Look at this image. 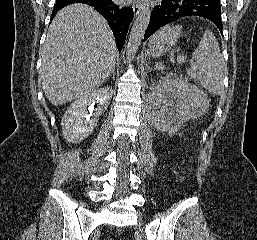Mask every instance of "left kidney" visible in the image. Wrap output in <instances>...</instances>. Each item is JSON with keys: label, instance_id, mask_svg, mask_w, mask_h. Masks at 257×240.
Returning a JSON list of instances; mask_svg holds the SVG:
<instances>
[{"label": "left kidney", "instance_id": "1", "mask_svg": "<svg viewBox=\"0 0 257 240\" xmlns=\"http://www.w3.org/2000/svg\"><path fill=\"white\" fill-rule=\"evenodd\" d=\"M146 103L151 124L165 132L177 131L185 121L201 116L208 107L207 96L179 78L152 84Z\"/></svg>", "mask_w": 257, "mask_h": 240}]
</instances>
